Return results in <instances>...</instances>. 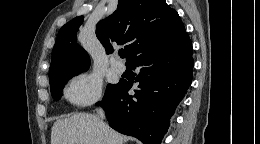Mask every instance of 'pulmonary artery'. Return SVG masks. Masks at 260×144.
Listing matches in <instances>:
<instances>
[{"label":"pulmonary artery","instance_id":"pulmonary-artery-1","mask_svg":"<svg viewBox=\"0 0 260 144\" xmlns=\"http://www.w3.org/2000/svg\"><path fill=\"white\" fill-rule=\"evenodd\" d=\"M111 68L117 73H122L125 70L124 65L116 59L111 61Z\"/></svg>","mask_w":260,"mask_h":144}]
</instances>
